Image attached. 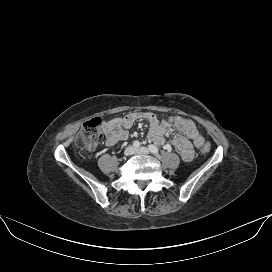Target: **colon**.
I'll return each mask as SVG.
<instances>
[{
  "mask_svg": "<svg viewBox=\"0 0 272 272\" xmlns=\"http://www.w3.org/2000/svg\"><path fill=\"white\" fill-rule=\"evenodd\" d=\"M101 123L102 121L99 118H93L87 121L75 138L76 146L79 148H91L102 142L104 139V132ZM210 148V144L206 143L201 148V151L203 153H208Z\"/></svg>",
  "mask_w": 272,
  "mask_h": 272,
  "instance_id": "5ec220e1",
  "label": "colon"
}]
</instances>
